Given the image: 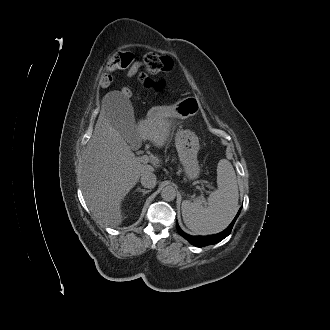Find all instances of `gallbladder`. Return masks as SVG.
Masks as SVG:
<instances>
[{
	"label": "gallbladder",
	"mask_w": 330,
	"mask_h": 330,
	"mask_svg": "<svg viewBox=\"0 0 330 330\" xmlns=\"http://www.w3.org/2000/svg\"><path fill=\"white\" fill-rule=\"evenodd\" d=\"M115 123L113 126L128 141H132L136 135V124L133 107L129 102L119 104L114 110Z\"/></svg>",
	"instance_id": "bac80fb5"
}]
</instances>
